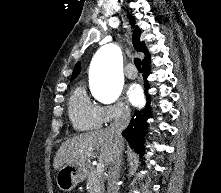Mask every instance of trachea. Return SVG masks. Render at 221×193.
<instances>
[{"mask_svg": "<svg viewBox=\"0 0 221 193\" xmlns=\"http://www.w3.org/2000/svg\"><path fill=\"white\" fill-rule=\"evenodd\" d=\"M134 64H135L136 68L138 69V71L141 72L142 68H141V61H140V59L135 58L134 59Z\"/></svg>", "mask_w": 221, "mask_h": 193, "instance_id": "1", "label": "trachea"}]
</instances>
